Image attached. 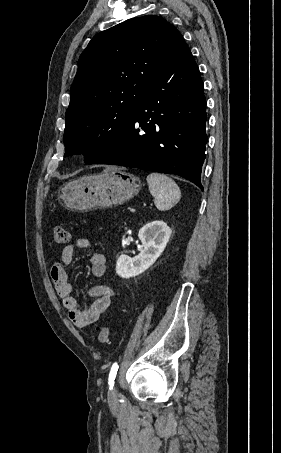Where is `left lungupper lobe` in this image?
I'll return each instance as SVG.
<instances>
[{"label": "left lung upper lobe", "mask_w": 281, "mask_h": 453, "mask_svg": "<svg viewBox=\"0 0 281 453\" xmlns=\"http://www.w3.org/2000/svg\"><path fill=\"white\" fill-rule=\"evenodd\" d=\"M179 32L156 15L97 34L83 51L66 111L65 156L94 164L120 137L166 62Z\"/></svg>", "instance_id": "5c2ea615"}]
</instances>
